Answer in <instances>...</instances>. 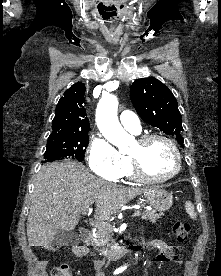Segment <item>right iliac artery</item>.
Segmentation results:
<instances>
[{
    "instance_id": "1",
    "label": "right iliac artery",
    "mask_w": 221,
    "mask_h": 276,
    "mask_svg": "<svg viewBox=\"0 0 221 276\" xmlns=\"http://www.w3.org/2000/svg\"><path fill=\"white\" fill-rule=\"evenodd\" d=\"M123 270H124V268H119L115 271V273L118 274V273L122 272Z\"/></svg>"
}]
</instances>
